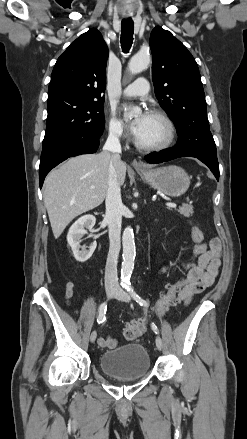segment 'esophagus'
Listing matches in <instances>:
<instances>
[{"label": "esophagus", "mask_w": 247, "mask_h": 439, "mask_svg": "<svg viewBox=\"0 0 247 439\" xmlns=\"http://www.w3.org/2000/svg\"><path fill=\"white\" fill-rule=\"evenodd\" d=\"M132 166L135 169H145L146 168L145 164L143 162H141L140 160H137V159H134L132 161Z\"/></svg>", "instance_id": "esophagus-1"}]
</instances>
